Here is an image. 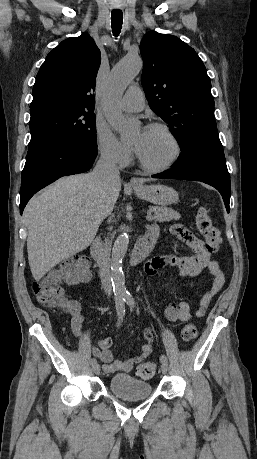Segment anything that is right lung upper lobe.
Masks as SVG:
<instances>
[{
  "instance_id": "right-lung-upper-lobe-1",
  "label": "right lung upper lobe",
  "mask_w": 257,
  "mask_h": 459,
  "mask_svg": "<svg viewBox=\"0 0 257 459\" xmlns=\"http://www.w3.org/2000/svg\"><path fill=\"white\" fill-rule=\"evenodd\" d=\"M100 50L87 33L62 41L40 67L30 112L51 106L94 110Z\"/></svg>"
}]
</instances>
